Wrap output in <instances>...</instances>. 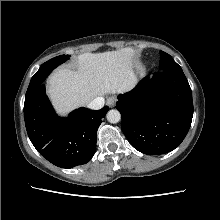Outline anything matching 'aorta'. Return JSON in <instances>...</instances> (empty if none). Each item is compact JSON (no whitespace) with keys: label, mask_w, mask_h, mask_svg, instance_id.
I'll use <instances>...</instances> for the list:
<instances>
[{"label":"aorta","mask_w":220,"mask_h":220,"mask_svg":"<svg viewBox=\"0 0 220 220\" xmlns=\"http://www.w3.org/2000/svg\"><path fill=\"white\" fill-rule=\"evenodd\" d=\"M106 117H107L108 122L113 123V124L121 120L120 112L115 109L108 111Z\"/></svg>","instance_id":"obj_1"}]
</instances>
